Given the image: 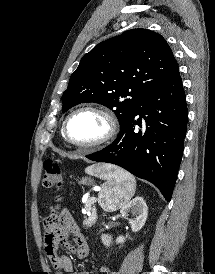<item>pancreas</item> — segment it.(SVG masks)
Masks as SVG:
<instances>
[{"mask_svg":"<svg viewBox=\"0 0 215 274\" xmlns=\"http://www.w3.org/2000/svg\"><path fill=\"white\" fill-rule=\"evenodd\" d=\"M95 202H96V199L90 198V199L86 202L85 208H86L87 210H91L92 213H94V212H95V209H94V206L92 207V205H94ZM94 222H95L94 216L91 215L89 218H87V219L85 220L84 224H85V225H90V224H93Z\"/></svg>","mask_w":215,"mask_h":274,"instance_id":"pancreas-1","label":"pancreas"}]
</instances>
